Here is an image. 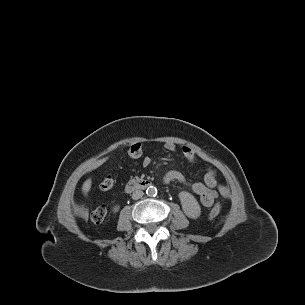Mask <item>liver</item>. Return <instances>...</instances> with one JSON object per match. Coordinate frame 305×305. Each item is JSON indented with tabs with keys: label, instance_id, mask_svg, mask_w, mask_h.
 Instances as JSON below:
<instances>
[{
	"label": "liver",
	"instance_id": "obj_1",
	"mask_svg": "<svg viewBox=\"0 0 305 305\" xmlns=\"http://www.w3.org/2000/svg\"><path fill=\"white\" fill-rule=\"evenodd\" d=\"M91 179H87L84 183H83V186H82V191L84 192V194H87L91 188Z\"/></svg>",
	"mask_w": 305,
	"mask_h": 305
}]
</instances>
